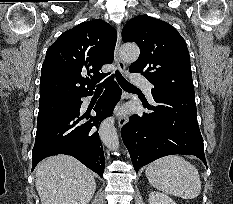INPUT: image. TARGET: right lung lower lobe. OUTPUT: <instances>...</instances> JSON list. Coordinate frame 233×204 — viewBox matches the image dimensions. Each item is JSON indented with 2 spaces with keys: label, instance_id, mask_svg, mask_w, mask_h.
I'll use <instances>...</instances> for the list:
<instances>
[{
  "label": "right lung lower lobe",
  "instance_id": "obj_1",
  "mask_svg": "<svg viewBox=\"0 0 233 204\" xmlns=\"http://www.w3.org/2000/svg\"><path fill=\"white\" fill-rule=\"evenodd\" d=\"M91 94L92 92L78 97L71 110L37 126L32 150V171L46 157L67 154L103 176L105 160L97 130L99 123L112 114L114 106L120 100L121 89L112 78L108 80L105 92L94 107L95 117L80 113L81 97Z\"/></svg>",
  "mask_w": 233,
  "mask_h": 204
}]
</instances>
